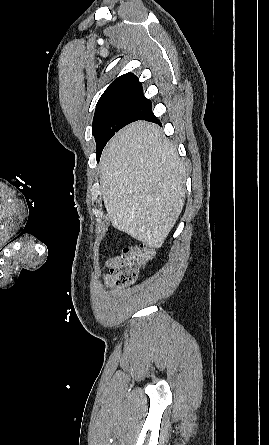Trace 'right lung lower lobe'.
Instances as JSON below:
<instances>
[{"label": "right lung lower lobe", "mask_w": 269, "mask_h": 445, "mask_svg": "<svg viewBox=\"0 0 269 445\" xmlns=\"http://www.w3.org/2000/svg\"><path fill=\"white\" fill-rule=\"evenodd\" d=\"M139 120H146V121H151V122L160 124V121H158L157 118L155 117V115L153 114L151 107Z\"/></svg>", "instance_id": "right-lung-lower-lobe-1"}]
</instances>
